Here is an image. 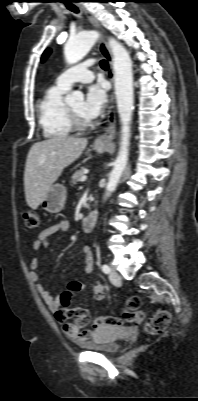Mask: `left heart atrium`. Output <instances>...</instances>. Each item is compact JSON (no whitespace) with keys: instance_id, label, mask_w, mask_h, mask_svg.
I'll use <instances>...</instances> for the list:
<instances>
[{"instance_id":"39dd6f15","label":"left heart atrium","mask_w":198,"mask_h":401,"mask_svg":"<svg viewBox=\"0 0 198 401\" xmlns=\"http://www.w3.org/2000/svg\"><path fill=\"white\" fill-rule=\"evenodd\" d=\"M107 102L106 89L102 83H96L90 85L86 91V97L84 101V114L89 119H95L98 117Z\"/></svg>"}]
</instances>
